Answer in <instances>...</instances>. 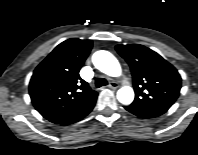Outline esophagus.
I'll return each mask as SVG.
<instances>
[{
  "label": "esophagus",
  "instance_id": "34e87169",
  "mask_svg": "<svg viewBox=\"0 0 198 155\" xmlns=\"http://www.w3.org/2000/svg\"><path fill=\"white\" fill-rule=\"evenodd\" d=\"M109 87L112 88V89H116L118 88V83L114 82V81H111L109 83Z\"/></svg>",
  "mask_w": 198,
  "mask_h": 155
}]
</instances>
